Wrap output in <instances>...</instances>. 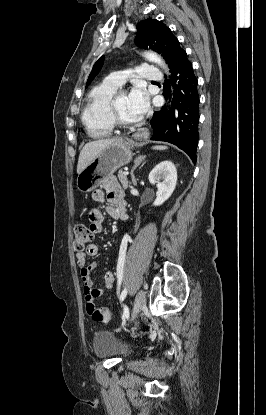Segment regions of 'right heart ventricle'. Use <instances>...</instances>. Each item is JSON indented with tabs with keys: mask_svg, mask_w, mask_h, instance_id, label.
Listing matches in <instances>:
<instances>
[{
	"mask_svg": "<svg viewBox=\"0 0 266 415\" xmlns=\"http://www.w3.org/2000/svg\"><path fill=\"white\" fill-rule=\"evenodd\" d=\"M117 88L103 82L89 93L82 112V122L91 137H107L114 131L115 126L109 113V101Z\"/></svg>",
	"mask_w": 266,
	"mask_h": 415,
	"instance_id": "right-heart-ventricle-1",
	"label": "right heart ventricle"
}]
</instances>
